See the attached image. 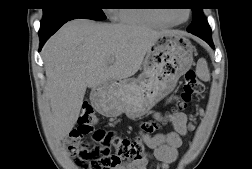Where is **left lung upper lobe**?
<instances>
[{"label": "left lung upper lobe", "instance_id": "left-lung-upper-lobe-1", "mask_svg": "<svg viewBox=\"0 0 252 169\" xmlns=\"http://www.w3.org/2000/svg\"><path fill=\"white\" fill-rule=\"evenodd\" d=\"M202 9L203 8L201 7H196L192 9L193 21L187 30L199 31L204 33L208 32L209 34H211L210 26L207 22L206 17L203 14Z\"/></svg>", "mask_w": 252, "mask_h": 169}]
</instances>
